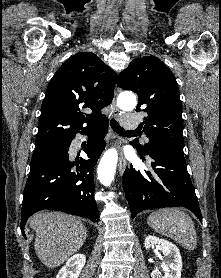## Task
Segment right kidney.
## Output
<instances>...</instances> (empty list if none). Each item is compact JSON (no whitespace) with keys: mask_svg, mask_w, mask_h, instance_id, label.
Listing matches in <instances>:
<instances>
[{"mask_svg":"<svg viewBox=\"0 0 221 278\" xmlns=\"http://www.w3.org/2000/svg\"><path fill=\"white\" fill-rule=\"evenodd\" d=\"M86 263L84 254H75L68 261L66 265L60 269L56 278H78L82 268Z\"/></svg>","mask_w":221,"mask_h":278,"instance_id":"obj_1","label":"right kidney"}]
</instances>
